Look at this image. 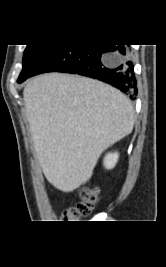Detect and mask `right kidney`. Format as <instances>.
Here are the masks:
<instances>
[{
  "mask_svg": "<svg viewBox=\"0 0 166 267\" xmlns=\"http://www.w3.org/2000/svg\"><path fill=\"white\" fill-rule=\"evenodd\" d=\"M119 154L118 153H108L104 158V166L107 169H112L118 160Z\"/></svg>",
  "mask_w": 166,
  "mask_h": 267,
  "instance_id": "ca27d5eb",
  "label": "right kidney"
}]
</instances>
